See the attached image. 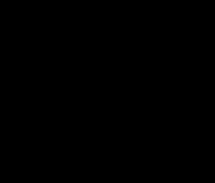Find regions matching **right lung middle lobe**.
<instances>
[{
    "mask_svg": "<svg viewBox=\"0 0 215 183\" xmlns=\"http://www.w3.org/2000/svg\"><path fill=\"white\" fill-rule=\"evenodd\" d=\"M65 72L70 81L74 83L81 82L83 84L84 76L87 70L81 64H78L74 61H69L67 63V70Z\"/></svg>",
    "mask_w": 215,
    "mask_h": 183,
    "instance_id": "dd1d6c3e",
    "label": "right lung middle lobe"
}]
</instances>
